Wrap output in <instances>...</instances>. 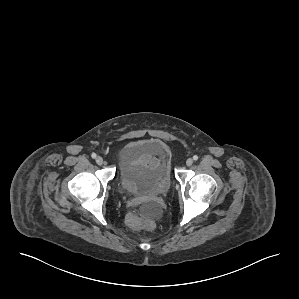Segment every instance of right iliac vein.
<instances>
[{"label":"right iliac vein","instance_id":"right-iliac-vein-1","mask_svg":"<svg viewBox=\"0 0 299 299\" xmlns=\"http://www.w3.org/2000/svg\"><path fill=\"white\" fill-rule=\"evenodd\" d=\"M103 162H104V160H103V158H102L101 156H98V157L96 158V163H97L98 165H102Z\"/></svg>","mask_w":299,"mask_h":299}]
</instances>
